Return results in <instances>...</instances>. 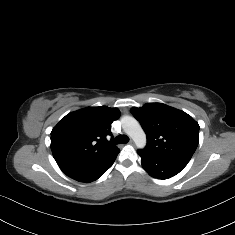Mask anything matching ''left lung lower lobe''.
I'll return each mask as SVG.
<instances>
[{"instance_id":"1","label":"left lung lower lobe","mask_w":235,"mask_h":235,"mask_svg":"<svg viewBox=\"0 0 235 235\" xmlns=\"http://www.w3.org/2000/svg\"><path fill=\"white\" fill-rule=\"evenodd\" d=\"M141 156V164L150 176L157 179H168L182 171L187 163L151 155L143 150H138Z\"/></svg>"}]
</instances>
